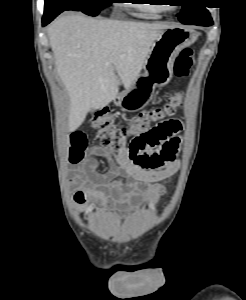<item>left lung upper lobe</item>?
<instances>
[{
	"label": "left lung upper lobe",
	"instance_id": "obj_1",
	"mask_svg": "<svg viewBox=\"0 0 246 300\" xmlns=\"http://www.w3.org/2000/svg\"><path fill=\"white\" fill-rule=\"evenodd\" d=\"M185 5L182 6L178 19L183 24H194L196 22L207 20L210 18V13L202 7L200 4L201 0H184Z\"/></svg>",
	"mask_w": 246,
	"mask_h": 300
}]
</instances>
